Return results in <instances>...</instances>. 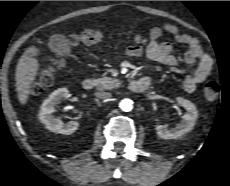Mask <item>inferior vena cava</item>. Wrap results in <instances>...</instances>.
Wrapping results in <instances>:
<instances>
[{
	"mask_svg": "<svg viewBox=\"0 0 230 186\" xmlns=\"http://www.w3.org/2000/svg\"><path fill=\"white\" fill-rule=\"evenodd\" d=\"M95 96L97 98H100L103 100H108L109 98H111V93H109V92H96Z\"/></svg>",
	"mask_w": 230,
	"mask_h": 186,
	"instance_id": "602c4592",
	"label": "inferior vena cava"
}]
</instances>
